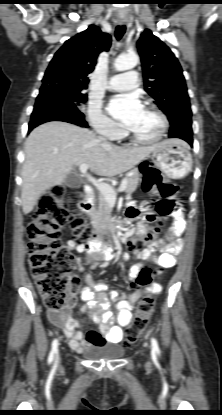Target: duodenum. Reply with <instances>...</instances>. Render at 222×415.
Masks as SVG:
<instances>
[{
  "mask_svg": "<svg viewBox=\"0 0 222 415\" xmlns=\"http://www.w3.org/2000/svg\"><path fill=\"white\" fill-rule=\"evenodd\" d=\"M83 190L85 196L80 203V209L83 213L88 214L92 211L94 193L92 187L88 185H86ZM107 229L110 232V238H120L125 236L127 233L124 224L121 222L112 221L108 224ZM89 250L91 252L105 250L109 252L107 258H111L113 256V249L111 245L108 244L104 247L99 241L89 247Z\"/></svg>",
  "mask_w": 222,
  "mask_h": 415,
  "instance_id": "1",
  "label": "duodenum"
}]
</instances>
